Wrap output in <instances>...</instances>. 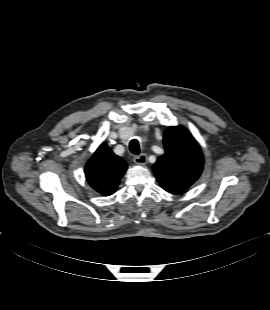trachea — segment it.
Here are the masks:
<instances>
[{
  "instance_id": "1",
  "label": "trachea",
  "mask_w": 270,
  "mask_h": 310,
  "mask_svg": "<svg viewBox=\"0 0 270 310\" xmlns=\"http://www.w3.org/2000/svg\"><path fill=\"white\" fill-rule=\"evenodd\" d=\"M129 149L131 153L138 155L140 153L139 142L137 139H133L130 141Z\"/></svg>"
}]
</instances>
